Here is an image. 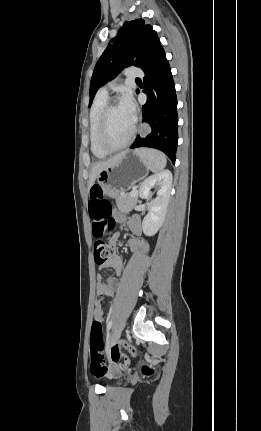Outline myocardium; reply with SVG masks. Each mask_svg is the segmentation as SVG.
Returning <instances> with one entry per match:
<instances>
[{
	"label": "myocardium",
	"mask_w": 261,
	"mask_h": 431,
	"mask_svg": "<svg viewBox=\"0 0 261 431\" xmlns=\"http://www.w3.org/2000/svg\"><path fill=\"white\" fill-rule=\"evenodd\" d=\"M117 105L116 101H111L106 104L104 109L101 112L100 120H99V129H98V141L101 148L109 153L117 152L125 147H127L133 140L135 133L137 131L136 120H134L133 127L131 129L130 134L126 138L124 142L118 145H113L108 141L107 138V120L110 111Z\"/></svg>",
	"instance_id": "myocardium-1"
}]
</instances>
